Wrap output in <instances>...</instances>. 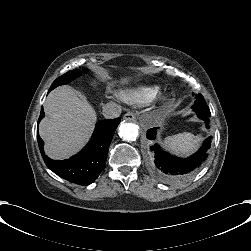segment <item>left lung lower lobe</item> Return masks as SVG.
<instances>
[{
	"mask_svg": "<svg viewBox=\"0 0 251 251\" xmlns=\"http://www.w3.org/2000/svg\"><path fill=\"white\" fill-rule=\"evenodd\" d=\"M192 109L200 119L206 122L207 127H209L210 111H204L194 107H192ZM156 130L157 128L148 130L147 138L149 140L153 141L156 139ZM211 139L212 137L207 138L198 152L185 159L171 156L164 152L158 144H154L150 147L152 155H154V163L151 164L153 173L161 180L170 183L188 178L207 158V151L210 148Z\"/></svg>",
	"mask_w": 251,
	"mask_h": 251,
	"instance_id": "left-lung-lower-lobe-1",
	"label": "left lung lower lobe"
}]
</instances>
